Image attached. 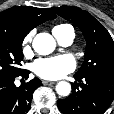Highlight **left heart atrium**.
<instances>
[{
	"mask_svg": "<svg viewBox=\"0 0 114 114\" xmlns=\"http://www.w3.org/2000/svg\"><path fill=\"white\" fill-rule=\"evenodd\" d=\"M74 59L67 54L36 60L32 65L33 72L43 78L56 80L75 69Z\"/></svg>",
	"mask_w": 114,
	"mask_h": 114,
	"instance_id": "1",
	"label": "left heart atrium"
}]
</instances>
